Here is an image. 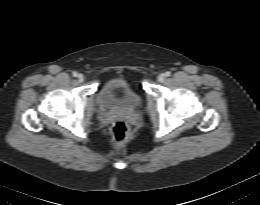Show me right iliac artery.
Listing matches in <instances>:
<instances>
[{"mask_svg":"<svg viewBox=\"0 0 260 205\" xmlns=\"http://www.w3.org/2000/svg\"><path fill=\"white\" fill-rule=\"evenodd\" d=\"M72 75H73L74 77H77V76H78V73L74 71V72L72 73Z\"/></svg>","mask_w":260,"mask_h":205,"instance_id":"82829eb1","label":"right iliac artery"}]
</instances>
